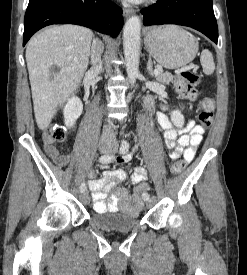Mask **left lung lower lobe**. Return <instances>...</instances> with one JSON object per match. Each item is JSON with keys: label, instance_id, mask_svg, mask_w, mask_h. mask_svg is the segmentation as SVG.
Returning a JSON list of instances; mask_svg holds the SVG:
<instances>
[{"label": "left lung lower lobe", "instance_id": "1", "mask_svg": "<svg viewBox=\"0 0 247 275\" xmlns=\"http://www.w3.org/2000/svg\"><path fill=\"white\" fill-rule=\"evenodd\" d=\"M143 24H177L194 28L217 44L218 27L212 0H158L141 10Z\"/></svg>", "mask_w": 247, "mask_h": 275}]
</instances>
